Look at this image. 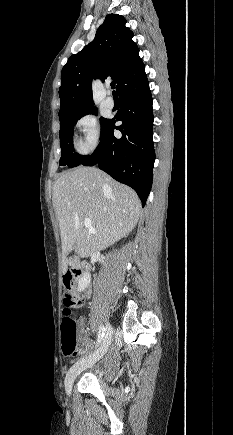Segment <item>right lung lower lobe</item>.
<instances>
[{
	"label": "right lung lower lobe",
	"mask_w": 233,
	"mask_h": 435,
	"mask_svg": "<svg viewBox=\"0 0 233 435\" xmlns=\"http://www.w3.org/2000/svg\"><path fill=\"white\" fill-rule=\"evenodd\" d=\"M119 97L121 110L110 119L95 151L81 163L98 165L115 180L132 187L144 207L152 186L153 145L152 97L145 72L124 84ZM116 121H122L115 126ZM121 131L115 138L113 131Z\"/></svg>",
	"instance_id": "right-lung-lower-lobe-1"
}]
</instances>
